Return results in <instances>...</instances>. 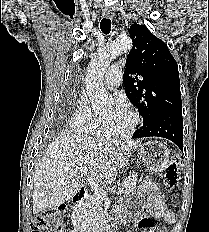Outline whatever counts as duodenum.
<instances>
[{
	"mask_svg": "<svg viewBox=\"0 0 209 232\" xmlns=\"http://www.w3.org/2000/svg\"><path fill=\"white\" fill-rule=\"evenodd\" d=\"M86 196H87L86 189L81 188L79 193H77L72 197L71 199L72 204L74 206L81 205L86 200ZM111 230H112V226L105 223H102L93 229H88L87 227H84L82 225H78L76 228L77 232H111Z\"/></svg>",
	"mask_w": 209,
	"mask_h": 232,
	"instance_id": "duodenum-1",
	"label": "duodenum"
}]
</instances>
